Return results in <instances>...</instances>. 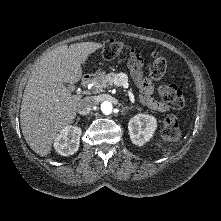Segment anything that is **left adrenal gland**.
I'll use <instances>...</instances> for the list:
<instances>
[{"label": "left adrenal gland", "mask_w": 221, "mask_h": 221, "mask_svg": "<svg viewBox=\"0 0 221 221\" xmlns=\"http://www.w3.org/2000/svg\"><path fill=\"white\" fill-rule=\"evenodd\" d=\"M128 109H129L128 107H124V108H122V111H126Z\"/></svg>", "instance_id": "left-adrenal-gland-1"}]
</instances>
